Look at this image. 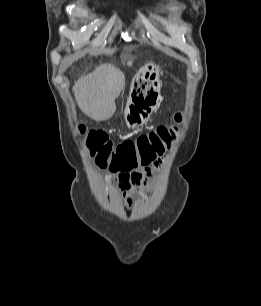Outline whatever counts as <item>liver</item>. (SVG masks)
Segmentation results:
<instances>
[{
    "instance_id": "6515ba94",
    "label": "liver",
    "mask_w": 261,
    "mask_h": 306,
    "mask_svg": "<svg viewBox=\"0 0 261 306\" xmlns=\"http://www.w3.org/2000/svg\"><path fill=\"white\" fill-rule=\"evenodd\" d=\"M124 87V75L111 64L97 67L80 77L73 86L81 111L95 121L111 118L116 111L115 99Z\"/></svg>"
}]
</instances>
